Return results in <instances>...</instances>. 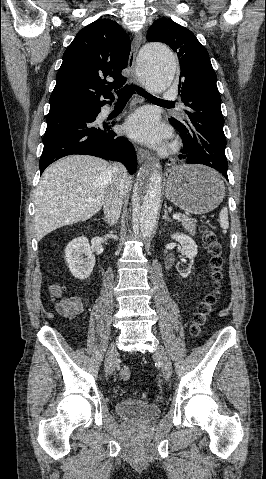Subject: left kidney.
<instances>
[{
  "label": "left kidney",
  "instance_id": "obj_1",
  "mask_svg": "<svg viewBox=\"0 0 266 479\" xmlns=\"http://www.w3.org/2000/svg\"><path fill=\"white\" fill-rule=\"evenodd\" d=\"M171 238L177 240L180 243L181 247L179 248V250H180L181 254L186 256L187 258H189L191 260V264L189 265V267L186 270H179L177 268L179 274L183 278H187L188 275L191 272L194 257L198 253L197 244L195 243V241L191 237H189L185 234L176 233V234L171 235Z\"/></svg>",
  "mask_w": 266,
  "mask_h": 479
}]
</instances>
